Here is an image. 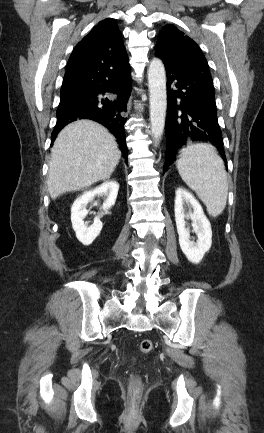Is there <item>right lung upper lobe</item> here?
<instances>
[{
  "label": "right lung upper lobe",
  "instance_id": "right-lung-upper-lobe-1",
  "mask_svg": "<svg viewBox=\"0 0 264 433\" xmlns=\"http://www.w3.org/2000/svg\"><path fill=\"white\" fill-rule=\"evenodd\" d=\"M129 63L121 32L114 19L100 21L75 47L67 70L96 66L119 67Z\"/></svg>",
  "mask_w": 264,
  "mask_h": 433
}]
</instances>
